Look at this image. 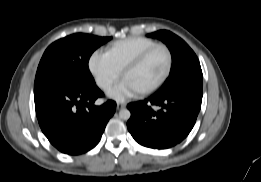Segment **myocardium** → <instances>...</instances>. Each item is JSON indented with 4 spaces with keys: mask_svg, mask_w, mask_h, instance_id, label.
<instances>
[{
    "mask_svg": "<svg viewBox=\"0 0 261 182\" xmlns=\"http://www.w3.org/2000/svg\"><path fill=\"white\" fill-rule=\"evenodd\" d=\"M157 49H163L166 54H167V67L166 70L163 74V76L161 77V79L156 82L154 85H152L151 87L139 92L140 95H148L150 93L155 92L156 90H158L159 88H161L165 82L168 80L172 68H173V53L171 51V49L162 43H157L154 46L149 47L148 49L144 50L142 53H140L134 60H132L122 71V78L125 77V75L133 70H135L136 68H138L144 61L145 59L155 50Z\"/></svg>",
    "mask_w": 261,
    "mask_h": 182,
    "instance_id": "obj_1",
    "label": "myocardium"
}]
</instances>
